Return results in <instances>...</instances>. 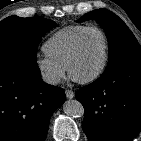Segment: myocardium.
<instances>
[{"label":"myocardium","instance_id":"1","mask_svg":"<svg viewBox=\"0 0 141 141\" xmlns=\"http://www.w3.org/2000/svg\"><path fill=\"white\" fill-rule=\"evenodd\" d=\"M90 31H97L102 35V37L104 39V44H105L104 57H103V61H102L101 65H100L99 69L94 74H92L91 76H89L87 78L78 79V78L73 77L72 72H71V68H72L73 62L75 61V59L77 58V56L79 54L83 38ZM109 53H110V43H109V39H108V36L105 33V31L102 28L98 27V26H88L77 37V39H76V41H75V43L73 45L72 51H71V53H70V55L68 57L67 64H66V69H67V72H68L69 76L74 81H76V82H78L80 84H89V83H92V82L96 81L104 73V71H105V69L107 67L108 60H109Z\"/></svg>","mask_w":141,"mask_h":141}]
</instances>
